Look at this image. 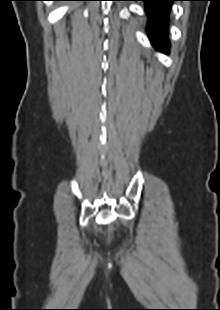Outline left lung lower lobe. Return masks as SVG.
Here are the masks:
<instances>
[{
  "instance_id": "left-lung-lower-lobe-1",
  "label": "left lung lower lobe",
  "mask_w": 220,
  "mask_h": 310,
  "mask_svg": "<svg viewBox=\"0 0 220 310\" xmlns=\"http://www.w3.org/2000/svg\"><path fill=\"white\" fill-rule=\"evenodd\" d=\"M145 3L148 17L147 31L152 45L159 51L168 54L170 42L168 39V16L173 1L178 0H139Z\"/></svg>"
}]
</instances>
